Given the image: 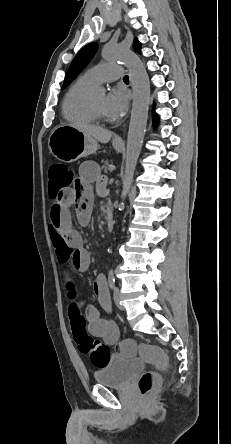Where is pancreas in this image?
Listing matches in <instances>:
<instances>
[{"label": "pancreas", "instance_id": "cf45deb5", "mask_svg": "<svg viewBox=\"0 0 231 444\" xmlns=\"http://www.w3.org/2000/svg\"><path fill=\"white\" fill-rule=\"evenodd\" d=\"M112 161L106 160L103 162L102 169L106 172L108 169L112 168Z\"/></svg>", "mask_w": 231, "mask_h": 444}]
</instances>
